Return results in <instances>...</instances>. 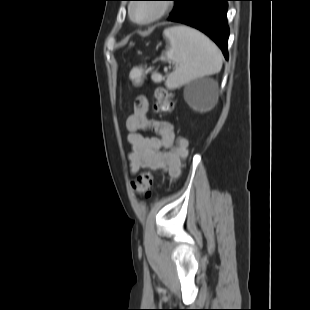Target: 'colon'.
<instances>
[{
    "label": "colon",
    "mask_w": 310,
    "mask_h": 310,
    "mask_svg": "<svg viewBox=\"0 0 310 310\" xmlns=\"http://www.w3.org/2000/svg\"><path fill=\"white\" fill-rule=\"evenodd\" d=\"M153 80L159 82L161 76L159 74L153 75ZM155 103L154 110L156 112H168L173 109V93L167 88L158 87L154 93ZM154 182L153 175L150 171L142 172L135 181L132 182V188L136 194L143 195L148 193Z\"/></svg>",
    "instance_id": "obj_1"
}]
</instances>
